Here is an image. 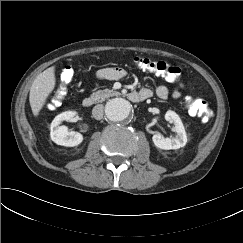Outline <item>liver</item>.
<instances>
[{"instance_id":"1","label":"liver","mask_w":243,"mask_h":243,"mask_svg":"<svg viewBox=\"0 0 243 243\" xmlns=\"http://www.w3.org/2000/svg\"><path fill=\"white\" fill-rule=\"evenodd\" d=\"M56 84L55 67H49L40 73L34 80L30 88L29 102L32 113L35 117L43 108L46 99L54 90Z\"/></svg>"}]
</instances>
